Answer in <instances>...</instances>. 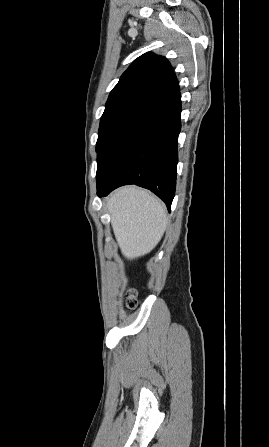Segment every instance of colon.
Wrapping results in <instances>:
<instances>
[{
	"instance_id": "5ec220e1",
	"label": "colon",
	"mask_w": 269,
	"mask_h": 447,
	"mask_svg": "<svg viewBox=\"0 0 269 447\" xmlns=\"http://www.w3.org/2000/svg\"><path fill=\"white\" fill-rule=\"evenodd\" d=\"M136 292L135 290H129L126 294V310H131L136 306Z\"/></svg>"
}]
</instances>
